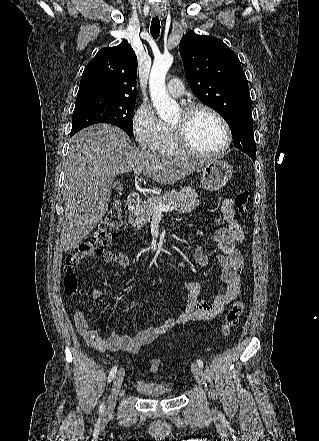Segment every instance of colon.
<instances>
[{
  "label": "colon",
  "instance_id": "obj_1",
  "mask_svg": "<svg viewBox=\"0 0 319 441\" xmlns=\"http://www.w3.org/2000/svg\"><path fill=\"white\" fill-rule=\"evenodd\" d=\"M242 217L249 215V192L247 190H238L233 201ZM121 224V207L119 203L113 204L105 217L99 222L91 234L84 238L78 247L72 251L65 261L64 290L66 295L72 298H80L83 289L75 274L76 268L88 257L100 254L109 242L114 239ZM246 305L244 301L234 303L221 326V335L227 338L232 330L238 326L242 315L245 312ZM151 372H157L162 367L161 360L155 358L148 362Z\"/></svg>",
  "mask_w": 319,
  "mask_h": 441
}]
</instances>
